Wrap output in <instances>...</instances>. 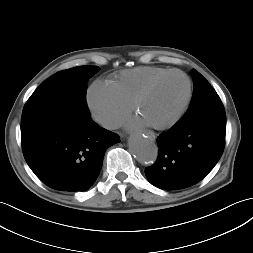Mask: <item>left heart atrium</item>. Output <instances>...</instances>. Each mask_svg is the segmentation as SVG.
<instances>
[{
  "label": "left heart atrium",
  "mask_w": 253,
  "mask_h": 253,
  "mask_svg": "<svg viewBox=\"0 0 253 253\" xmlns=\"http://www.w3.org/2000/svg\"><path fill=\"white\" fill-rule=\"evenodd\" d=\"M134 123H135V124H138V125H147V123H146L143 119H141L140 117H138V118L135 120Z\"/></svg>",
  "instance_id": "left-heart-atrium-1"
}]
</instances>
